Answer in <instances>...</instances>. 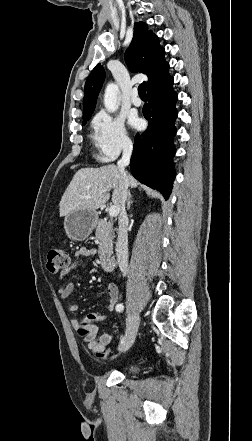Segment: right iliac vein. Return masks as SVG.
I'll use <instances>...</instances> for the list:
<instances>
[{"mask_svg":"<svg viewBox=\"0 0 252 441\" xmlns=\"http://www.w3.org/2000/svg\"><path fill=\"white\" fill-rule=\"evenodd\" d=\"M140 318L137 314H133L127 323V330L125 335L124 345L122 347V352H126L134 343L138 328H139Z\"/></svg>","mask_w":252,"mask_h":441,"instance_id":"1","label":"right iliac vein"}]
</instances>
